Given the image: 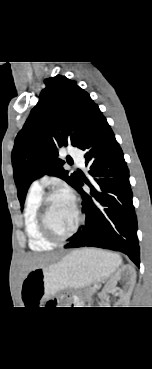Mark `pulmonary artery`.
Returning <instances> with one entry per match:
<instances>
[{
  "instance_id": "pulmonary-artery-1",
  "label": "pulmonary artery",
  "mask_w": 152,
  "mask_h": 369,
  "mask_svg": "<svg viewBox=\"0 0 152 369\" xmlns=\"http://www.w3.org/2000/svg\"><path fill=\"white\" fill-rule=\"evenodd\" d=\"M67 152L78 165H83V155L78 149L70 147L68 148ZM30 189L42 190L41 182L38 179L34 180L31 184Z\"/></svg>"
}]
</instances>
